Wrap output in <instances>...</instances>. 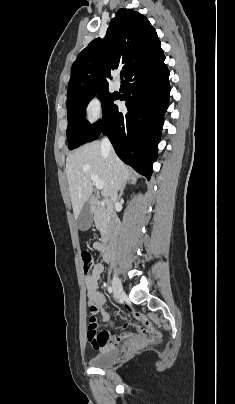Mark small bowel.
Segmentation results:
<instances>
[{"label":"small bowel","mask_w":235,"mask_h":404,"mask_svg":"<svg viewBox=\"0 0 235 404\" xmlns=\"http://www.w3.org/2000/svg\"><path fill=\"white\" fill-rule=\"evenodd\" d=\"M93 248L100 253L101 257L104 258V248L103 244L100 241H96L93 243ZM104 271V267L102 264H96L91 273L85 277V285L87 288L88 295V305L91 314H101L104 320L109 321V317L105 308L106 305V297L105 295L98 290L99 281L102 277ZM126 311L130 313H134L137 319L144 321V318L137 312H134L133 309L129 305H125ZM127 328V325L124 327ZM129 337L127 332H123L121 334L111 336L108 331L98 332L96 330L95 333L88 331V339L91 346L96 350L113 348L118 343L126 340Z\"/></svg>","instance_id":"c3829d8e"}]
</instances>
